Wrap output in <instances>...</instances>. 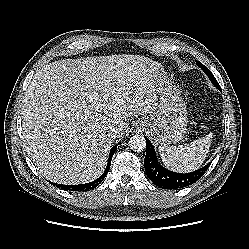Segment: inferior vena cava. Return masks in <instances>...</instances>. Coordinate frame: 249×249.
Listing matches in <instances>:
<instances>
[{"instance_id": "602c4592", "label": "inferior vena cava", "mask_w": 249, "mask_h": 249, "mask_svg": "<svg viewBox=\"0 0 249 249\" xmlns=\"http://www.w3.org/2000/svg\"><path fill=\"white\" fill-rule=\"evenodd\" d=\"M117 134H118V129H113V130H111V132H109V136L111 138H116Z\"/></svg>"}]
</instances>
